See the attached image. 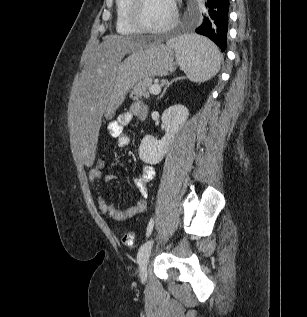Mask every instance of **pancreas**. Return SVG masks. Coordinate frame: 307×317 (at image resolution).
Wrapping results in <instances>:
<instances>
[{
    "label": "pancreas",
    "mask_w": 307,
    "mask_h": 317,
    "mask_svg": "<svg viewBox=\"0 0 307 317\" xmlns=\"http://www.w3.org/2000/svg\"><path fill=\"white\" fill-rule=\"evenodd\" d=\"M152 86V79L145 78L139 81L131 90L130 98L133 100H139L142 98L149 99L150 94L148 92L149 88Z\"/></svg>",
    "instance_id": "cf45deb5"
}]
</instances>
